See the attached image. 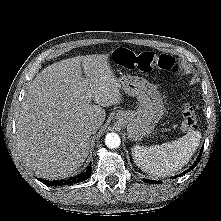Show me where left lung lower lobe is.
<instances>
[{
	"label": "left lung lower lobe",
	"mask_w": 221,
	"mask_h": 221,
	"mask_svg": "<svg viewBox=\"0 0 221 221\" xmlns=\"http://www.w3.org/2000/svg\"><path fill=\"white\" fill-rule=\"evenodd\" d=\"M202 152H203V148H202V150H201V153H200V155H199L197 161H196L187 171L181 173V174L179 175V177L182 176V175H185V173L191 171L192 169H194V168L196 167V165L198 164V162H199V160H200V158H201ZM143 181L146 182V183H155V184L161 182V181H153V180H148V179H146V180L143 179Z\"/></svg>",
	"instance_id": "1"
}]
</instances>
